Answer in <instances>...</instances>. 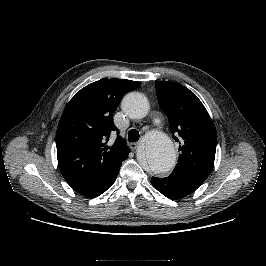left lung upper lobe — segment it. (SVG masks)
Wrapping results in <instances>:
<instances>
[{
	"label": "left lung upper lobe",
	"mask_w": 266,
	"mask_h": 266,
	"mask_svg": "<svg viewBox=\"0 0 266 266\" xmlns=\"http://www.w3.org/2000/svg\"><path fill=\"white\" fill-rule=\"evenodd\" d=\"M158 102L179 142V158L172 175L201 185L215 159L217 133L202 102L188 88L172 82H156Z\"/></svg>",
	"instance_id": "obj_1"
}]
</instances>
